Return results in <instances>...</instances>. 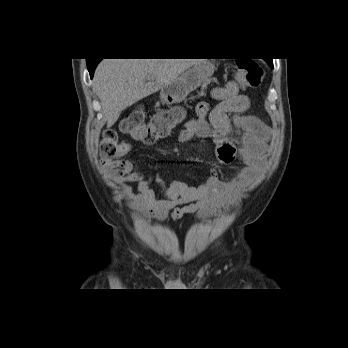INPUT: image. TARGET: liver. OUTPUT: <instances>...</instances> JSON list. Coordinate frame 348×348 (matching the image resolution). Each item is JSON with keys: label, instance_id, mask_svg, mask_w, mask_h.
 Here are the masks:
<instances>
[{"label": "liver", "instance_id": "6515ba94", "mask_svg": "<svg viewBox=\"0 0 348 348\" xmlns=\"http://www.w3.org/2000/svg\"><path fill=\"white\" fill-rule=\"evenodd\" d=\"M200 59H103L95 69L93 87L104 119L111 127L121 112L161 90Z\"/></svg>", "mask_w": 348, "mask_h": 348}]
</instances>
